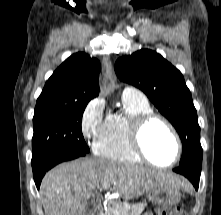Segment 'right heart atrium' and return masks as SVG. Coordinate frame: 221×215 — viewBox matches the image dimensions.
I'll return each mask as SVG.
<instances>
[{
    "mask_svg": "<svg viewBox=\"0 0 221 215\" xmlns=\"http://www.w3.org/2000/svg\"><path fill=\"white\" fill-rule=\"evenodd\" d=\"M104 124V104L100 99L91 100L81 117V131L86 139L95 140Z\"/></svg>",
    "mask_w": 221,
    "mask_h": 215,
    "instance_id": "obj_1",
    "label": "right heart atrium"
}]
</instances>
